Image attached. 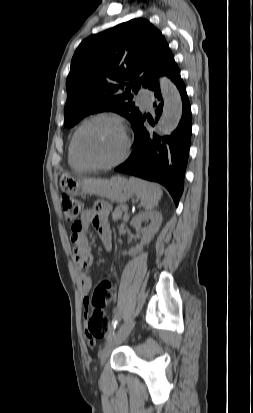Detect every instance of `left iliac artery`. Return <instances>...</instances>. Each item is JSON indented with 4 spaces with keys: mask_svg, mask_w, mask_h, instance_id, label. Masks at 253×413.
<instances>
[{
    "mask_svg": "<svg viewBox=\"0 0 253 413\" xmlns=\"http://www.w3.org/2000/svg\"><path fill=\"white\" fill-rule=\"evenodd\" d=\"M119 320H120V315H117V316L114 317V319L112 321L113 331H111L110 334L108 335V338H107L108 342L112 339V336L114 334V329L116 328V325H117Z\"/></svg>",
    "mask_w": 253,
    "mask_h": 413,
    "instance_id": "44dca946",
    "label": "left iliac artery"
}]
</instances>
